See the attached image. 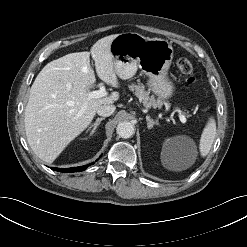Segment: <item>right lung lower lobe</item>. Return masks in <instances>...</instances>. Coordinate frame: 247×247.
Masks as SVG:
<instances>
[{
  "label": "right lung lower lobe",
  "mask_w": 247,
  "mask_h": 247,
  "mask_svg": "<svg viewBox=\"0 0 247 247\" xmlns=\"http://www.w3.org/2000/svg\"><path fill=\"white\" fill-rule=\"evenodd\" d=\"M94 164V163H92ZM88 166H90V164L86 165V166H79V167H75V168H51L55 171H60V172H67V173H71V172H80L85 170Z\"/></svg>",
  "instance_id": "1"
}]
</instances>
